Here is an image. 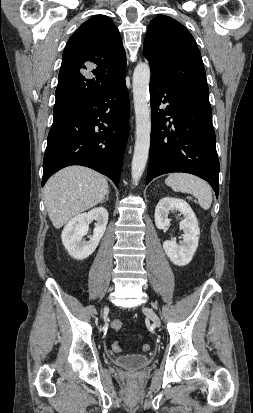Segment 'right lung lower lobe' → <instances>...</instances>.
Segmentation results:
<instances>
[{
	"label": "right lung lower lobe",
	"mask_w": 253,
	"mask_h": 413,
	"mask_svg": "<svg viewBox=\"0 0 253 413\" xmlns=\"http://www.w3.org/2000/svg\"><path fill=\"white\" fill-rule=\"evenodd\" d=\"M125 77L99 95L54 114L43 161L42 186L70 165L92 168L118 187L129 133Z\"/></svg>",
	"instance_id": "obj_1"
}]
</instances>
